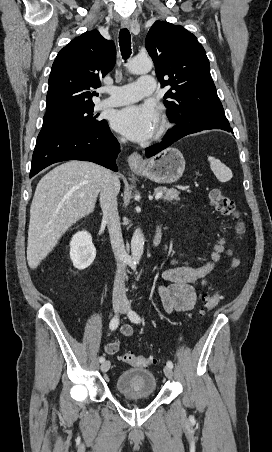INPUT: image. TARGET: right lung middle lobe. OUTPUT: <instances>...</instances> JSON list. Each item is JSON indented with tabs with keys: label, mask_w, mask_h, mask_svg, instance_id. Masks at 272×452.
<instances>
[{
	"label": "right lung middle lobe",
	"mask_w": 272,
	"mask_h": 452,
	"mask_svg": "<svg viewBox=\"0 0 272 452\" xmlns=\"http://www.w3.org/2000/svg\"><path fill=\"white\" fill-rule=\"evenodd\" d=\"M93 108L94 104L45 114L42 129L49 127H74L78 129H90L103 125L106 120H98V115L93 114Z\"/></svg>",
	"instance_id": "right-lung-middle-lobe-1"
}]
</instances>
